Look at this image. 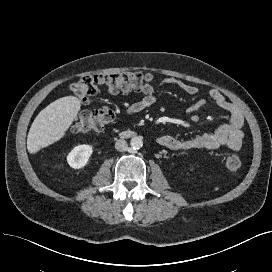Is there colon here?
<instances>
[{"label": "colon", "mask_w": 272, "mask_h": 272, "mask_svg": "<svg viewBox=\"0 0 272 272\" xmlns=\"http://www.w3.org/2000/svg\"><path fill=\"white\" fill-rule=\"evenodd\" d=\"M70 89L82 102H88L90 97L101 91L112 94L128 91L149 94L152 92V76L133 72L86 75L73 83ZM114 119L115 112L106 105H100L78 115L71 129L76 133L101 131L111 125ZM226 167L231 171L239 170L242 167L241 158L237 155H229L226 159Z\"/></svg>", "instance_id": "colon-1"}]
</instances>
